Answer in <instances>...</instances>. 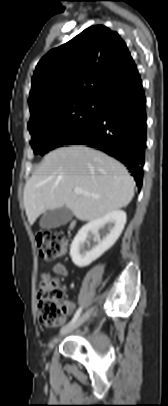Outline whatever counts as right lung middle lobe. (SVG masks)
Returning <instances> with one entry per match:
<instances>
[{
	"label": "right lung middle lobe",
	"mask_w": 168,
	"mask_h": 406,
	"mask_svg": "<svg viewBox=\"0 0 168 406\" xmlns=\"http://www.w3.org/2000/svg\"><path fill=\"white\" fill-rule=\"evenodd\" d=\"M99 100L89 99L28 124L35 154H45L80 135L96 119Z\"/></svg>",
	"instance_id": "1"
}]
</instances>
